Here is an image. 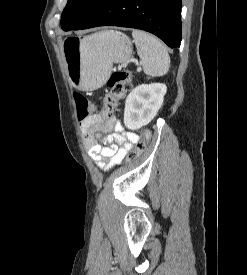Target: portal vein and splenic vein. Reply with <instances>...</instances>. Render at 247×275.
<instances>
[{
  "label": "portal vein and splenic vein",
  "instance_id": "18ae733b",
  "mask_svg": "<svg viewBox=\"0 0 247 275\" xmlns=\"http://www.w3.org/2000/svg\"><path fill=\"white\" fill-rule=\"evenodd\" d=\"M137 70H138V71H140V70H141V68L139 67V68H137Z\"/></svg>",
  "mask_w": 247,
  "mask_h": 275
}]
</instances>
